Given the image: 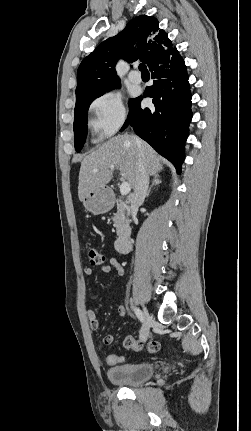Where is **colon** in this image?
Segmentation results:
<instances>
[{
    "label": "colon",
    "instance_id": "5ec220e1",
    "mask_svg": "<svg viewBox=\"0 0 251 431\" xmlns=\"http://www.w3.org/2000/svg\"><path fill=\"white\" fill-rule=\"evenodd\" d=\"M87 256L89 262L94 266H101L104 264V256L91 246L87 247ZM123 345L125 348L133 349L135 351L146 349L149 353H156L160 349V343L156 340H152L147 344H144L140 340H136L132 337H126L123 341ZM105 359L107 365L118 366L124 364V359L120 358L118 353H108L105 356Z\"/></svg>",
    "mask_w": 251,
    "mask_h": 431
}]
</instances>
